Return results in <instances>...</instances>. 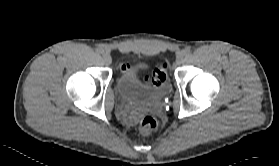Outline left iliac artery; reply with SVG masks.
I'll return each instance as SVG.
<instances>
[{"label":"left iliac artery","instance_id":"1","mask_svg":"<svg viewBox=\"0 0 279 166\" xmlns=\"http://www.w3.org/2000/svg\"><path fill=\"white\" fill-rule=\"evenodd\" d=\"M183 54L188 56V55L191 54V50L189 48H186V49L183 50Z\"/></svg>","mask_w":279,"mask_h":166}]
</instances>
